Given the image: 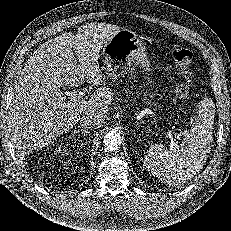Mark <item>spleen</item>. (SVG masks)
<instances>
[{
	"mask_svg": "<svg viewBox=\"0 0 231 231\" xmlns=\"http://www.w3.org/2000/svg\"><path fill=\"white\" fill-rule=\"evenodd\" d=\"M201 107L180 145L167 149L162 144H154L144 155L147 170L170 186H180L192 179L210 153L214 113L209 107Z\"/></svg>",
	"mask_w": 231,
	"mask_h": 231,
	"instance_id": "obj_1",
	"label": "spleen"
}]
</instances>
